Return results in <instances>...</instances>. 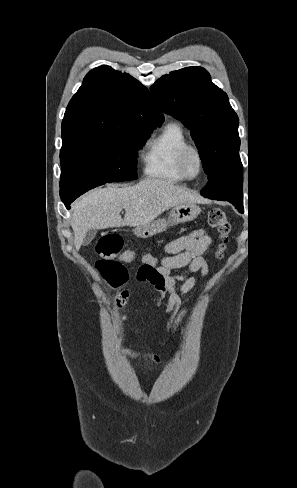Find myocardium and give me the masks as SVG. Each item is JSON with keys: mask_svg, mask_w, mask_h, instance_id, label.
I'll return each mask as SVG.
<instances>
[{"mask_svg": "<svg viewBox=\"0 0 297 488\" xmlns=\"http://www.w3.org/2000/svg\"><path fill=\"white\" fill-rule=\"evenodd\" d=\"M191 154H194L197 157L198 162H199V169L195 175H191L188 171V168H187V160ZM178 168H179L181 174L185 177V179H187V180L197 179L203 173V170H204V158H203L201 151L193 145L186 146L181 151V153L178 157Z\"/></svg>", "mask_w": 297, "mask_h": 488, "instance_id": "f54148a6", "label": "myocardium"}]
</instances>
